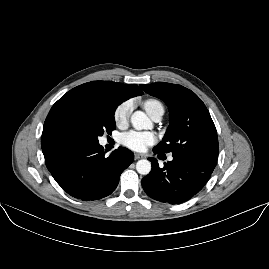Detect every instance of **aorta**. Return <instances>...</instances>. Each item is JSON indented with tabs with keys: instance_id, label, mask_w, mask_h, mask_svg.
<instances>
[{
	"instance_id": "aorta-1",
	"label": "aorta",
	"mask_w": 269,
	"mask_h": 269,
	"mask_svg": "<svg viewBox=\"0 0 269 269\" xmlns=\"http://www.w3.org/2000/svg\"><path fill=\"white\" fill-rule=\"evenodd\" d=\"M131 123L136 130L149 129L152 121L142 111H135L131 116ZM136 170L141 175H147L151 171V162L147 159H141L136 163Z\"/></svg>"
}]
</instances>
